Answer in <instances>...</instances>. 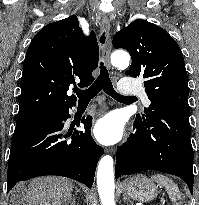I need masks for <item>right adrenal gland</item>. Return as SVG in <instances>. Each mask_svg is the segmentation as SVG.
<instances>
[{"mask_svg": "<svg viewBox=\"0 0 199 205\" xmlns=\"http://www.w3.org/2000/svg\"><path fill=\"white\" fill-rule=\"evenodd\" d=\"M75 190H76V194L80 193V189L75 188ZM72 205H75V196L73 197V204Z\"/></svg>", "mask_w": 199, "mask_h": 205, "instance_id": "1", "label": "right adrenal gland"}]
</instances>
